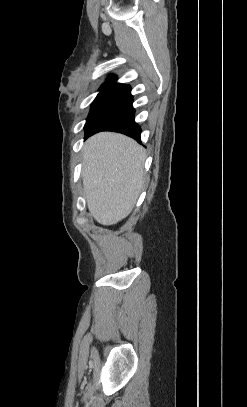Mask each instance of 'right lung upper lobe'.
Segmentation results:
<instances>
[{
	"label": "right lung upper lobe",
	"instance_id": "cb5924a9",
	"mask_svg": "<svg viewBox=\"0 0 247 407\" xmlns=\"http://www.w3.org/2000/svg\"><path fill=\"white\" fill-rule=\"evenodd\" d=\"M99 90L101 91L100 93L109 92L113 90H130V86L116 83V78L112 76L107 79L106 83L103 84Z\"/></svg>",
	"mask_w": 247,
	"mask_h": 407
}]
</instances>
